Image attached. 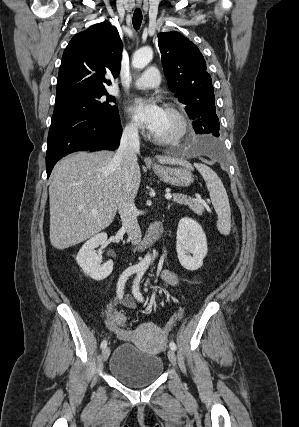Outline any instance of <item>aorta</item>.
I'll list each match as a JSON object with an SVG mask.
<instances>
[{
	"mask_svg": "<svg viewBox=\"0 0 299 427\" xmlns=\"http://www.w3.org/2000/svg\"><path fill=\"white\" fill-rule=\"evenodd\" d=\"M152 58H153V50L151 47L140 48L133 55L132 66L136 69H143L149 64ZM151 260H152V255L148 253L144 257V259L139 263V267L143 270H146L149 267Z\"/></svg>",
	"mask_w": 299,
	"mask_h": 427,
	"instance_id": "1",
	"label": "aorta"
}]
</instances>
